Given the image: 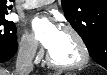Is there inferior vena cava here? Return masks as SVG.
<instances>
[{"instance_id": "inferior-vena-cava-1", "label": "inferior vena cava", "mask_w": 107, "mask_h": 75, "mask_svg": "<svg viewBox=\"0 0 107 75\" xmlns=\"http://www.w3.org/2000/svg\"><path fill=\"white\" fill-rule=\"evenodd\" d=\"M36 51L34 42L20 47L16 59L14 75H29L33 71V57Z\"/></svg>"}]
</instances>
